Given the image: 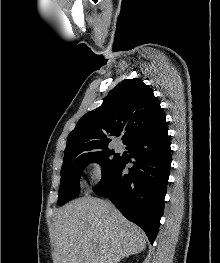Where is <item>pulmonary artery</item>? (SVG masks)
Masks as SVG:
<instances>
[{
	"label": "pulmonary artery",
	"instance_id": "e3ab8cb5",
	"mask_svg": "<svg viewBox=\"0 0 220 263\" xmlns=\"http://www.w3.org/2000/svg\"><path fill=\"white\" fill-rule=\"evenodd\" d=\"M122 149H123V147H122V145L120 143L116 145V150L117 151L120 152V151H122Z\"/></svg>",
	"mask_w": 220,
	"mask_h": 263
}]
</instances>
